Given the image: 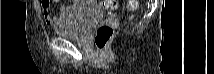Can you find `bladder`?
Wrapping results in <instances>:
<instances>
[{"mask_svg":"<svg viewBox=\"0 0 214 74\" xmlns=\"http://www.w3.org/2000/svg\"><path fill=\"white\" fill-rule=\"evenodd\" d=\"M105 13L92 2L79 1L60 16L55 33L61 37L84 41L93 25L103 20Z\"/></svg>","mask_w":214,"mask_h":74,"instance_id":"obj_1","label":"bladder"}]
</instances>
